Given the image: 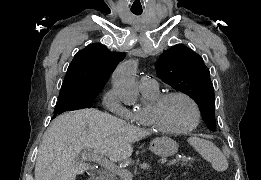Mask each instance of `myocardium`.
<instances>
[{
  "instance_id": "obj_1",
  "label": "myocardium",
  "mask_w": 261,
  "mask_h": 180,
  "mask_svg": "<svg viewBox=\"0 0 261 180\" xmlns=\"http://www.w3.org/2000/svg\"><path fill=\"white\" fill-rule=\"evenodd\" d=\"M172 97H181L190 103V105L194 110L193 122L186 130L182 132L172 133V134H160L157 128L153 124L145 121L139 114H137L136 117L137 125L140 129H142L145 132L146 136L148 137L162 136L170 139H182L188 136L189 134H191L198 127L202 117L200 106L198 102L191 95L183 91H169L163 94H158L149 102L148 106L146 107L147 111H153L157 109Z\"/></svg>"
}]
</instances>
